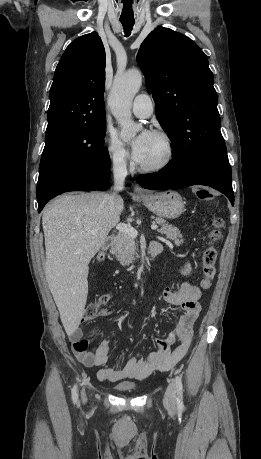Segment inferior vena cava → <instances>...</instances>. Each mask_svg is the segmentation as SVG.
<instances>
[{
  "label": "inferior vena cava",
  "instance_id": "1",
  "mask_svg": "<svg viewBox=\"0 0 261 459\" xmlns=\"http://www.w3.org/2000/svg\"><path fill=\"white\" fill-rule=\"evenodd\" d=\"M114 192L109 195L110 208L113 213H117L123 206V199L118 192L123 189L127 176L126 163L123 157H119L113 162Z\"/></svg>",
  "mask_w": 261,
  "mask_h": 459
}]
</instances>
